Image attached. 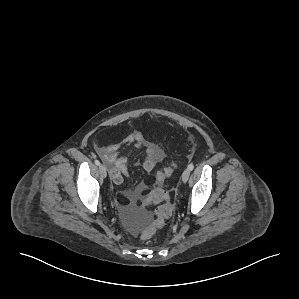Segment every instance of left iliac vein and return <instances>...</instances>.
<instances>
[{
    "label": "left iliac vein",
    "instance_id": "4c4485c4",
    "mask_svg": "<svg viewBox=\"0 0 299 299\" xmlns=\"http://www.w3.org/2000/svg\"><path fill=\"white\" fill-rule=\"evenodd\" d=\"M189 176H190V170L187 168L182 173V181L184 183H186L188 181V179H189Z\"/></svg>",
    "mask_w": 299,
    "mask_h": 299
}]
</instances>
